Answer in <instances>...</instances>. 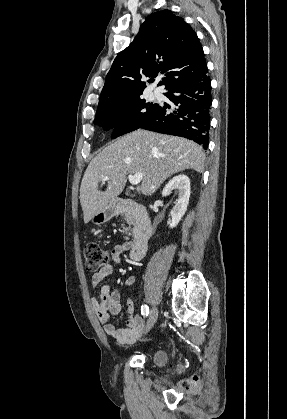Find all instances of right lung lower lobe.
<instances>
[{
    "mask_svg": "<svg viewBox=\"0 0 287 419\" xmlns=\"http://www.w3.org/2000/svg\"><path fill=\"white\" fill-rule=\"evenodd\" d=\"M167 103L158 105L154 113L139 127L150 131L185 137L208 148L211 80L208 71L199 77L180 82L167 89Z\"/></svg>",
    "mask_w": 287,
    "mask_h": 419,
    "instance_id": "1",
    "label": "right lung lower lobe"
}]
</instances>
